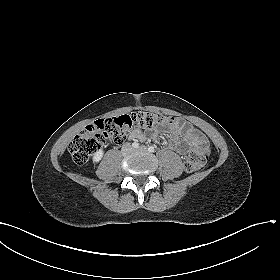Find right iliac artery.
Listing matches in <instances>:
<instances>
[{"instance_id": "82829eb1", "label": "right iliac artery", "mask_w": 280, "mask_h": 280, "mask_svg": "<svg viewBox=\"0 0 280 280\" xmlns=\"http://www.w3.org/2000/svg\"><path fill=\"white\" fill-rule=\"evenodd\" d=\"M132 147L137 149V148H139V144L137 142H133L132 143Z\"/></svg>"}]
</instances>
